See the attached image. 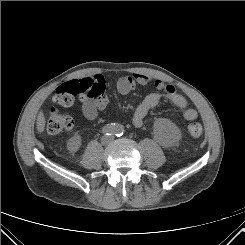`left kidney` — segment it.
Wrapping results in <instances>:
<instances>
[{
    "mask_svg": "<svg viewBox=\"0 0 245 245\" xmlns=\"http://www.w3.org/2000/svg\"><path fill=\"white\" fill-rule=\"evenodd\" d=\"M154 129L159 140L168 146L174 145L181 137L179 128L167 119L156 121Z\"/></svg>",
    "mask_w": 245,
    "mask_h": 245,
    "instance_id": "1",
    "label": "left kidney"
}]
</instances>
